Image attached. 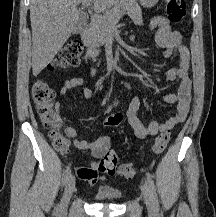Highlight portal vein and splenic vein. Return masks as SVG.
<instances>
[{
    "mask_svg": "<svg viewBox=\"0 0 216 217\" xmlns=\"http://www.w3.org/2000/svg\"><path fill=\"white\" fill-rule=\"evenodd\" d=\"M90 5V3L88 1H84L82 2V6H83V9H85L86 7H88ZM122 15V14H121ZM120 14H118V19L121 17ZM93 17L96 19V18H99L100 16L98 14H93Z\"/></svg>",
    "mask_w": 216,
    "mask_h": 217,
    "instance_id": "obj_1",
    "label": "portal vein and splenic vein"
}]
</instances>
